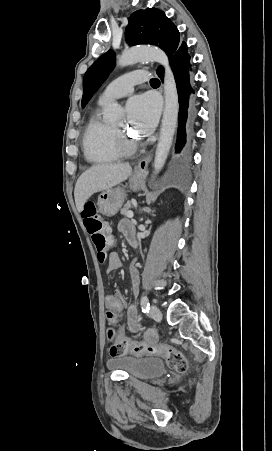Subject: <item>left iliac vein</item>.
<instances>
[{"label":"left iliac vein","mask_w":272,"mask_h":451,"mask_svg":"<svg viewBox=\"0 0 272 451\" xmlns=\"http://www.w3.org/2000/svg\"><path fill=\"white\" fill-rule=\"evenodd\" d=\"M150 316L155 320H161L162 319V313L156 306H151L150 308Z\"/></svg>","instance_id":"left-iliac-vein-1"}]
</instances>
